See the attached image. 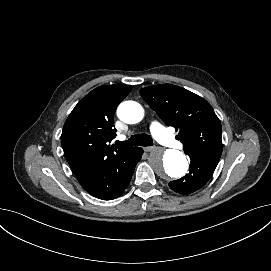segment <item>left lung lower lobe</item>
I'll list each match as a JSON object with an SVG mask.
<instances>
[{
	"label": "left lung lower lobe",
	"mask_w": 271,
	"mask_h": 271,
	"mask_svg": "<svg viewBox=\"0 0 271 271\" xmlns=\"http://www.w3.org/2000/svg\"><path fill=\"white\" fill-rule=\"evenodd\" d=\"M188 155L191 159L189 173L169 183V187L173 191L183 195L193 193L202 188L211 178L220 159L214 158L208 152Z\"/></svg>",
	"instance_id": "obj_1"
}]
</instances>
